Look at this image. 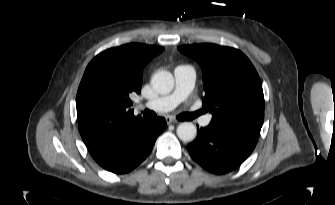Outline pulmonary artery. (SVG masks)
Listing matches in <instances>:
<instances>
[{"label": "pulmonary artery", "mask_w": 335, "mask_h": 205, "mask_svg": "<svg viewBox=\"0 0 335 205\" xmlns=\"http://www.w3.org/2000/svg\"><path fill=\"white\" fill-rule=\"evenodd\" d=\"M174 77L175 87L173 92L145 103L144 106L146 108L158 112H167L174 109L188 97L195 83V69L189 65H179L174 70ZM211 119L212 115L207 114L200 119V124L204 127L208 126Z\"/></svg>", "instance_id": "obj_1"}]
</instances>
